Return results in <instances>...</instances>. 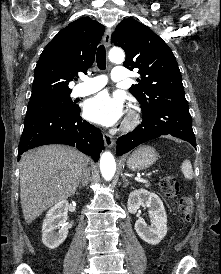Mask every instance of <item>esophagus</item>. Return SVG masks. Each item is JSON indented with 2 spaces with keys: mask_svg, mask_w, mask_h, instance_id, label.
Listing matches in <instances>:
<instances>
[{
  "mask_svg": "<svg viewBox=\"0 0 221 274\" xmlns=\"http://www.w3.org/2000/svg\"><path fill=\"white\" fill-rule=\"evenodd\" d=\"M111 34H112V29L107 28L104 33V37H103V43H104L105 47H107V48H109V46H110ZM103 139H104V143H105L106 147L112 148L114 146L115 140H114L113 136L110 135L109 133L104 132Z\"/></svg>",
  "mask_w": 221,
  "mask_h": 274,
  "instance_id": "34e87169",
  "label": "esophagus"
}]
</instances>
